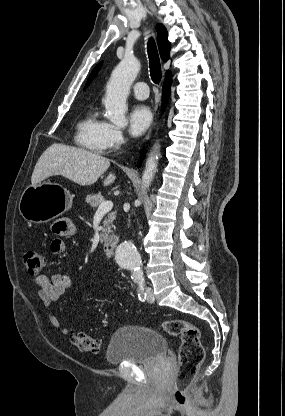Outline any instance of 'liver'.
Instances as JSON below:
<instances>
[{
    "label": "liver",
    "instance_id": "6515ba94",
    "mask_svg": "<svg viewBox=\"0 0 285 416\" xmlns=\"http://www.w3.org/2000/svg\"><path fill=\"white\" fill-rule=\"evenodd\" d=\"M109 166V160L101 154L64 144H52L40 156L33 170L31 184L37 186L50 176H63L79 186H92ZM114 180L115 174H109L103 184L111 186Z\"/></svg>",
    "mask_w": 285,
    "mask_h": 416
}]
</instances>
